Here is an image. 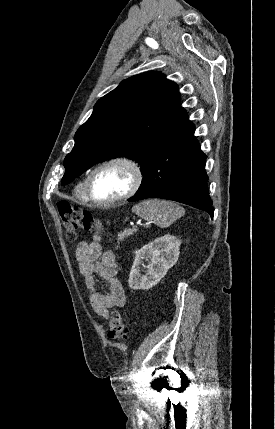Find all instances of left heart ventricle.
Masks as SVG:
<instances>
[{
	"instance_id": "obj_1",
	"label": "left heart ventricle",
	"mask_w": 275,
	"mask_h": 429,
	"mask_svg": "<svg viewBox=\"0 0 275 429\" xmlns=\"http://www.w3.org/2000/svg\"><path fill=\"white\" fill-rule=\"evenodd\" d=\"M131 174L122 165L99 170L92 180V194L98 200H108L123 194L129 187Z\"/></svg>"
}]
</instances>
